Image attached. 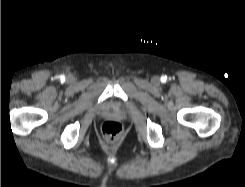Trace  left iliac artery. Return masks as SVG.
<instances>
[{
  "label": "left iliac artery",
  "mask_w": 245,
  "mask_h": 187,
  "mask_svg": "<svg viewBox=\"0 0 245 187\" xmlns=\"http://www.w3.org/2000/svg\"><path fill=\"white\" fill-rule=\"evenodd\" d=\"M166 80H167V77H166V76H162V77H161V82H164V83H165Z\"/></svg>",
  "instance_id": "1"
}]
</instances>
